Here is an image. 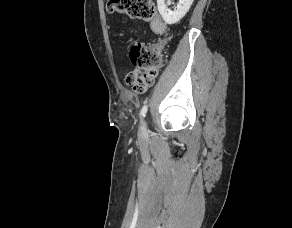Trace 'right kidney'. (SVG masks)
Returning <instances> with one entry per match:
<instances>
[{
  "label": "right kidney",
  "mask_w": 292,
  "mask_h": 228,
  "mask_svg": "<svg viewBox=\"0 0 292 228\" xmlns=\"http://www.w3.org/2000/svg\"><path fill=\"white\" fill-rule=\"evenodd\" d=\"M193 1L194 0H179V4L173 11L167 8L165 0H157V6L165 23L172 25L176 24L186 15Z\"/></svg>",
  "instance_id": "1"
}]
</instances>
